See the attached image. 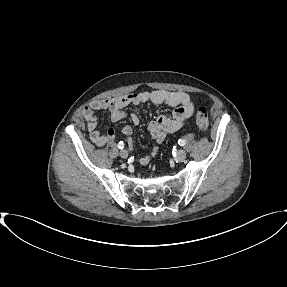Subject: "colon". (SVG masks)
Wrapping results in <instances>:
<instances>
[{
	"label": "colon",
	"instance_id": "5ec220e1",
	"mask_svg": "<svg viewBox=\"0 0 287 287\" xmlns=\"http://www.w3.org/2000/svg\"><path fill=\"white\" fill-rule=\"evenodd\" d=\"M195 119L196 124L201 132H206L209 126L208 111L204 106H195Z\"/></svg>",
	"mask_w": 287,
	"mask_h": 287
}]
</instances>
